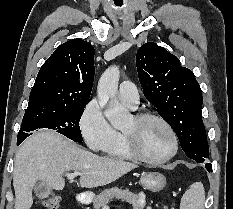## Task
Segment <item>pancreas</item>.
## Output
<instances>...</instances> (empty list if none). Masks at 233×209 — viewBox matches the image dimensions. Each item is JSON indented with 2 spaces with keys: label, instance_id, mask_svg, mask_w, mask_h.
<instances>
[{
  "label": "pancreas",
  "instance_id": "pancreas-1",
  "mask_svg": "<svg viewBox=\"0 0 233 209\" xmlns=\"http://www.w3.org/2000/svg\"><path fill=\"white\" fill-rule=\"evenodd\" d=\"M112 199H121L132 205L134 209H143L145 207V200L141 194H134L128 189L113 187L102 191L93 200V208L100 209L106 206Z\"/></svg>",
  "mask_w": 233,
  "mask_h": 209
}]
</instances>
